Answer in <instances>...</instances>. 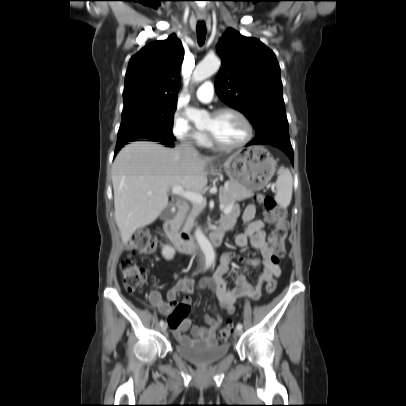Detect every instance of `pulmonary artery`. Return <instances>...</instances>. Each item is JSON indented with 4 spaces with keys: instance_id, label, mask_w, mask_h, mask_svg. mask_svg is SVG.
<instances>
[{
    "instance_id": "pulmonary-artery-1",
    "label": "pulmonary artery",
    "mask_w": 406,
    "mask_h": 406,
    "mask_svg": "<svg viewBox=\"0 0 406 406\" xmlns=\"http://www.w3.org/2000/svg\"><path fill=\"white\" fill-rule=\"evenodd\" d=\"M214 95V86L210 81L204 82L196 91V97L202 102H210Z\"/></svg>"
}]
</instances>
